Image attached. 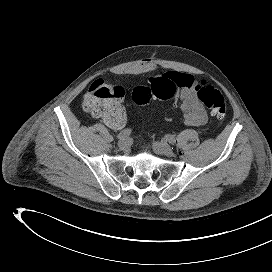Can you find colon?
Here are the masks:
<instances>
[{
    "label": "colon",
    "mask_w": 272,
    "mask_h": 272,
    "mask_svg": "<svg viewBox=\"0 0 272 272\" xmlns=\"http://www.w3.org/2000/svg\"><path fill=\"white\" fill-rule=\"evenodd\" d=\"M177 91V85L166 77L152 79L147 86L137 87L132 94L136 105H143L152 99H169ZM197 95L202 104L218 120H222L227 111V104L221 92L205 82L197 86ZM124 90L116 85L106 84L102 80L94 81L84 100V110L103 119L112 118L119 112V101Z\"/></svg>",
    "instance_id": "5ec220e1"
}]
</instances>
